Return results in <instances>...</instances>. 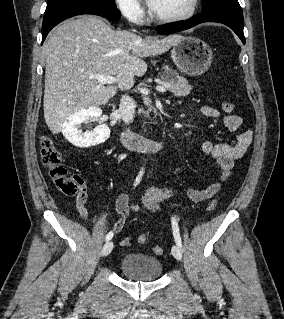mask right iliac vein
Here are the masks:
<instances>
[{
  "instance_id": "1",
  "label": "right iliac vein",
  "mask_w": 284,
  "mask_h": 319,
  "mask_svg": "<svg viewBox=\"0 0 284 319\" xmlns=\"http://www.w3.org/2000/svg\"><path fill=\"white\" fill-rule=\"evenodd\" d=\"M113 247L114 245L112 241L106 242L102 248V252H101L102 257L109 255L111 251L113 250Z\"/></svg>"
}]
</instances>
